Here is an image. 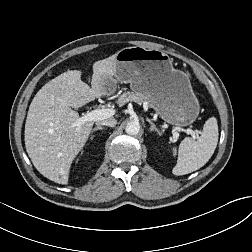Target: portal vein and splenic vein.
Instances as JSON below:
<instances>
[{"label": "portal vein and splenic vein", "instance_id": "portal-vein-and-splenic-vein-1", "mask_svg": "<svg viewBox=\"0 0 252 252\" xmlns=\"http://www.w3.org/2000/svg\"><path fill=\"white\" fill-rule=\"evenodd\" d=\"M115 111L113 109H96L91 112H87L85 115H83L81 118L77 120L75 123V126H81L82 124L90 121H99L103 119L110 118L113 116ZM187 134H191L194 138L195 135L200 134L199 130H191V129H186Z\"/></svg>", "mask_w": 252, "mask_h": 252}]
</instances>
